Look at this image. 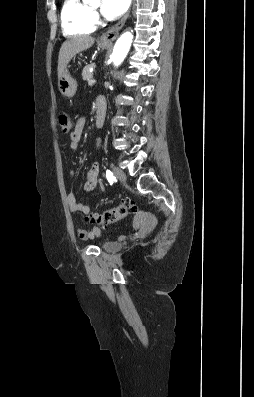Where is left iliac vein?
<instances>
[{
  "label": "left iliac vein",
  "instance_id": "left-iliac-vein-1",
  "mask_svg": "<svg viewBox=\"0 0 254 397\" xmlns=\"http://www.w3.org/2000/svg\"><path fill=\"white\" fill-rule=\"evenodd\" d=\"M114 174H115L116 178L119 179L120 181H122V182L126 181V175L121 169L115 167Z\"/></svg>",
  "mask_w": 254,
  "mask_h": 397
}]
</instances>
